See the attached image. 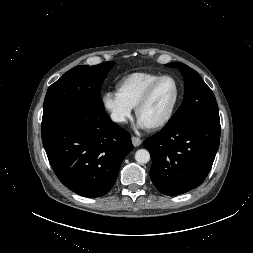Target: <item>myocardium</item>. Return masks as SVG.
I'll return each instance as SVG.
<instances>
[{"mask_svg": "<svg viewBox=\"0 0 253 253\" xmlns=\"http://www.w3.org/2000/svg\"><path fill=\"white\" fill-rule=\"evenodd\" d=\"M172 79L175 84H176V96L174 99V102L168 112V114L158 123L151 125V126H147L145 127L148 131H159L161 129H163L164 127H166L170 121L172 120L176 109L178 107V104L180 102L181 99V85L180 82L178 81V79L173 76V75H169V74H165V75H161L159 78H157L147 89L146 91L143 93V95L141 96V98L139 99V101L137 102L134 111H135V117L138 120L139 119V114L141 112V110L144 108V106L148 103V101L150 100L151 96L153 95L155 89L157 88V86L164 80V79ZM139 121V120H138Z\"/></svg>", "mask_w": 253, "mask_h": 253, "instance_id": "obj_1", "label": "myocardium"}]
</instances>
